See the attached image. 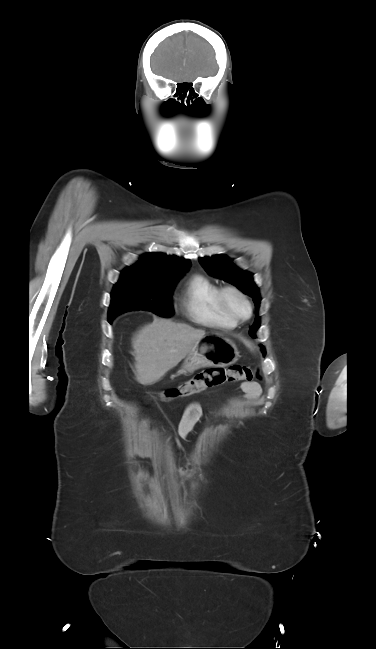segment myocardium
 Segmentation results:
<instances>
[{
  "label": "myocardium",
  "mask_w": 376,
  "mask_h": 649,
  "mask_svg": "<svg viewBox=\"0 0 376 649\" xmlns=\"http://www.w3.org/2000/svg\"><path fill=\"white\" fill-rule=\"evenodd\" d=\"M231 296L237 297L238 299H240L244 303V305L246 307V310H245L244 313L239 314V313L235 312L231 308V306L229 304V297H231ZM218 298H219V302H220L224 312L230 318L235 320L236 322L245 321V320L250 318L251 313H252L251 302H250L249 298L247 297V295L243 291H241L239 288H237L235 286L221 287L220 290H219Z\"/></svg>",
  "instance_id": "1"
}]
</instances>
